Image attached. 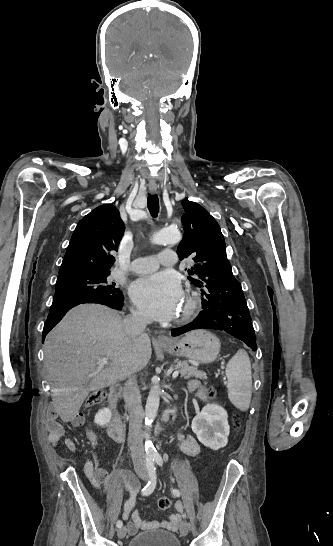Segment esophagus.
Here are the masks:
<instances>
[{"instance_id": "1", "label": "esophagus", "mask_w": 333, "mask_h": 546, "mask_svg": "<svg viewBox=\"0 0 333 546\" xmlns=\"http://www.w3.org/2000/svg\"><path fill=\"white\" fill-rule=\"evenodd\" d=\"M149 192L151 194H155L157 192V185L156 184H150L149 185ZM157 341L158 343L160 344H168L170 341L169 339L163 335V334H160L158 337H157Z\"/></svg>"}]
</instances>
